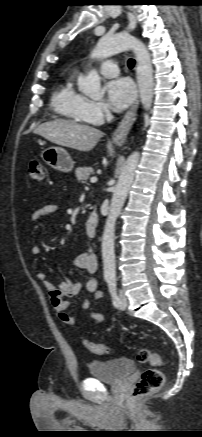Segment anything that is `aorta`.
<instances>
[{"instance_id": "aorta-1", "label": "aorta", "mask_w": 202, "mask_h": 437, "mask_svg": "<svg viewBox=\"0 0 202 437\" xmlns=\"http://www.w3.org/2000/svg\"><path fill=\"white\" fill-rule=\"evenodd\" d=\"M129 49L133 50L137 60V81L141 103L145 110H149L152 106L154 95L153 69L150 53L143 42L124 32L115 35H104L93 49L91 57L103 59ZM78 85L79 89L92 99L103 97L104 93L101 90L100 76L95 69L90 71L87 77L79 79ZM139 158V152H133L127 158L113 190L112 201L102 236L103 269L106 278L115 277V224L132 185Z\"/></svg>"}]
</instances>
